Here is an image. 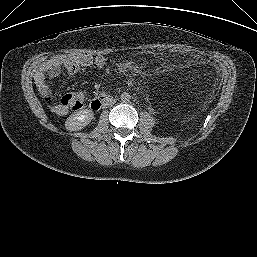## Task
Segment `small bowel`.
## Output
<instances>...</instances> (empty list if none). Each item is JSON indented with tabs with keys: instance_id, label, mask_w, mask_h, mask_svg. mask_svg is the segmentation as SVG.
Masks as SVG:
<instances>
[{
	"instance_id": "small-bowel-1",
	"label": "small bowel",
	"mask_w": 257,
	"mask_h": 257,
	"mask_svg": "<svg viewBox=\"0 0 257 257\" xmlns=\"http://www.w3.org/2000/svg\"><path fill=\"white\" fill-rule=\"evenodd\" d=\"M106 63L107 60L102 55L75 54L54 56L38 66L34 73V80L50 109L55 114L63 116L67 114L68 109L61 104L52 103L51 90L46 83L47 78H56L63 69L70 74H75L83 67L96 66L104 68Z\"/></svg>"
}]
</instances>
